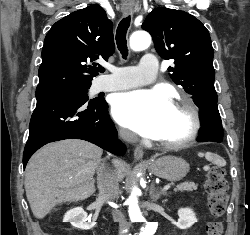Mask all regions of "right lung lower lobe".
<instances>
[{"label":"right lung lower lobe","instance_id":"1","mask_svg":"<svg viewBox=\"0 0 250 235\" xmlns=\"http://www.w3.org/2000/svg\"><path fill=\"white\" fill-rule=\"evenodd\" d=\"M107 108L103 98L89 100L80 89L37 96L23 154L24 167L43 145L64 139L86 140L114 154H123L125 146L117 139Z\"/></svg>","mask_w":250,"mask_h":235}]
</instances>
